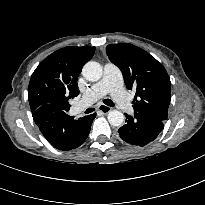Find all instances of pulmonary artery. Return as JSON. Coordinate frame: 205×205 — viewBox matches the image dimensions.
<instances>
[{
	"label": "pulmonary artery",
	"instance_id": "obj_1",
	"mask_svg": "<svg viewBox=\"0 0 205 205\" xmlns=\"http://www.w3.org/2000/svg\"><path fill=\"white\" fill-rule=\"evenodd\" d=\"M110 93L119 108L126 113H133L131 101L123 88V80L120 70L113 64L104 66L103 77L92 85L82 97V105H90L105 94Z\"/></svg>",
	"mask_w": 205,
	"mask_h": 205
}]
</instances>
